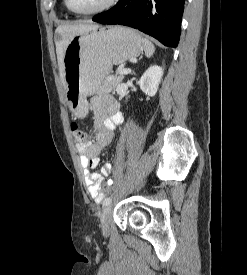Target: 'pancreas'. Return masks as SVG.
<instances>
[{"label": "pancreas", "mask_w": 247, "mask_h": 275, "mask_svg": "<svg viewBox=\"0 0 247 275\" xmlns=\"http://www.w3.org/2000/svg\"><path fill=\"white\" fill-rule=\"evenodd\" d=\"M123 75H115L112 77L106 78L103 82L102 86L100 87L99 93H110L115 91L116 87L119 83L123 80Z\"/></svg>", "instance_id": "obj_1"}]
</instances>
